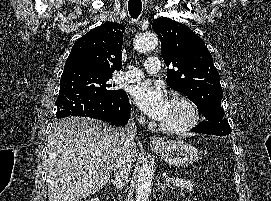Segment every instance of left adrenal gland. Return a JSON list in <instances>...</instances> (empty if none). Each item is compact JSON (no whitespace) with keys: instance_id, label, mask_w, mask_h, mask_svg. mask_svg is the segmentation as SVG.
I'll return each instance as SVG.
<instances>
[{"instance_id":"a2214340","label":"left adrenal gland","mask_w":271,"mask_h":201,"mask_svg":"<svg viewBox=\"0 0 271 201\" xmlns=\"http://www.w3.org/2000/svg\"><path fill=\"white\" fill-rule=\"evenodd\" d=\"M167 187L172 188L170 184H162L160 181L157 183V189L159 191L165 190Z\"/></svg>"}]
</instances>
